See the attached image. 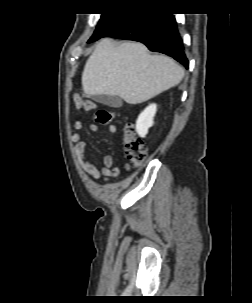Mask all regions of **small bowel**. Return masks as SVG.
<instances>
[{
	"mask_svg": "<svg viewBox=\"0 0 252 303\" xmlns=\"http://www.w3.org/2000/svg\"><path fill=\"white\" fill-rule=\"evenodd\" d=\"M84 125L85 123L83 120H77L74 124V129L71 132V139L74 141V151L79 165L88 176L95 179H99L100 177L105 179L117 177L120 174V168L118 166H113L112 156L107 155L103 158V166L101 169L86 158L85 151L87 144L85 141L81 140V130ZM90 129L93 132L100 130L99 126L96 124H92ZM107 131L109 133H116V125H108Z\"/></svg>",
	"mask_w": 252,
	"mask_h": 303,
	"instance_id": "small-bowel-1",
	"label": "small bowel"
}]
</instances>
